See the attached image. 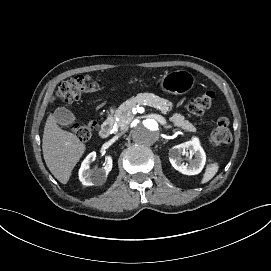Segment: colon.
Wrapping results in <instances>:
<instances>
[{
	"label": "colon",
	"instance_id": "obj_1",
	"mask_svg": "<svg viewBox=\"0 0 271 271\" xmlns=\"http://www.w3.org/2000/svg\"><path fill=\"white\" fill-rule=\"evenodd\" d=\"M102 86L101 81L89 75H78L61 82L58 86L55 98L67 103L74 102L88 90ZM215 93L206 91L199 94L196 99L187 105L188 111L195 116H202L213 104ZM72 130L77 138L88 141L97 128L95 122H77L72 125ZM209 140L214 145L228 144L231 141L229 121L225 118L218 119L209 132Z\"/></svg>",
	"mask_w": 271,
	"mask_h": 271
}]
</instances>
